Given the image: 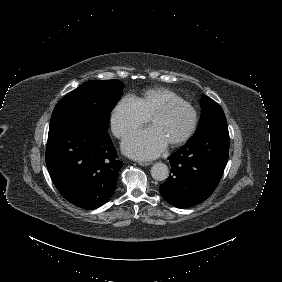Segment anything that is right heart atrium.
Segmentation results:
<instances>
[{"instance_id":"d8ad5b80","label":"right heart atrium","mask_w":282,"mask_h":282,"mask_svg":"<svg viewBox=\"0 0 282 282\" xmlns=\"http://www.w3.org/2000/svg\"><path fill=\"white\" fill-rule=\"evenodd\" d=\"M147 122L148 117L139 108L135 99L130 96L124 97L111 114V128L118 138L127 136Z\"/></svg>"}]
</instances>
